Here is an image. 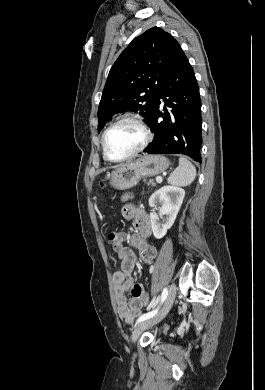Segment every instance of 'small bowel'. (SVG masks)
<instances>
[{"label":"small bowel","mask_w":265,"mask_h":390,"mask_svg":"<svg viewBox=\"0 0 265 390\" xmlns=\"http://www.w3.org/2000/svg\"><path fill=\"white\" fill-rule=\"evenodd\" d=\"M123 216L133 222L135 233L129 237L133 247L138 250L140 261L152 262L157 254L155 247L149 244L151 234V221L148 214L141 207L127 202L122 208ZM118 246L115 248L121 269L113 274L116 303L120 316L128 323H132L141 313L144 307L142 296L146 294L142 284L136 283L131 273L136 264V256L133 250L125 246L128 239L125 233H116ZM131 292V297H126V292Z\"/></svg>","instance_id":"obj_1"}]
</instances>
